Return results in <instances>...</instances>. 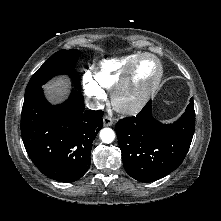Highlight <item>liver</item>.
I'll return each mask as SVG.
<instances>
[{"label": "liver", "instance_id": "1", "mask_svg": "<svg viewBox=\"0 0 221 221\" xmlns=\"http://www.w3.org/2000/svg\"><path fill=\"white\" fill-rule=\"evenodd\" d=\"M68 88V83L63 78H57L45 86L46 92L51 100L62 98L66 94Z\"/></svg>", "mask_w": 221, "mask_h": 221}]
</instances>
